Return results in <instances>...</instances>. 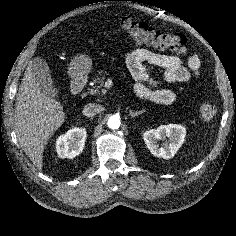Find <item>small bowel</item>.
Returning a JSON list of instances; mask_svg holds the SVG:
<instances>
[{"mask_svg":"<svg viewBox=\"0 0 236 236\" xmlns=\"http://www.w3.org/2000/svg\"><path fill=\"white\" fill-rule=\"evenodd\" d=\"M187 54L186 47L178 50L175 55H165L145 48L130 50L125 53L127 68L135 80V94L151 102L158 104H171L176 99V93L170 89H163V83H185L191 75L199 76L201 60L196 54ZM146 64L157 66L163 69L160 79L150 76Z\"/></svg>","mask_w":236,"mask_h":236,"instance_id":"small-bowel-1","label":"small bowel"}]
</instances>
